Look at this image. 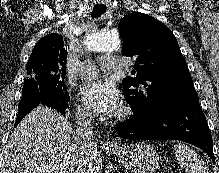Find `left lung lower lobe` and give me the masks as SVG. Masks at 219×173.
Segmentation results:
<instances>
[{"label":"left lung lower lobe","mask_w":219,"mask_h":173,"mask_svg":"<svg viewBox=\"0 0 219 173\" xmlns=\"http://www.w3.org/2000/svg\"><path fill=\"white\" fill-rule=\"evenodd\" d=\"M116 132L133 140H181L204 150L215 162L213 141L199 100L168 105L151 115L134 114L116 125Z\"/></svg>","instance_id":"left-lung-lower-lobe-1"}]
</instances>
